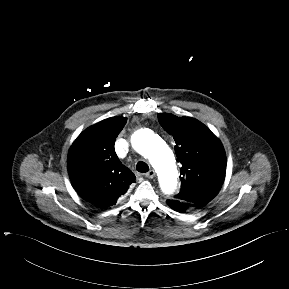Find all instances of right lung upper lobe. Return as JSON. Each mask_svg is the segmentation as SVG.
<instances>
[{
	"instance_id": "1",
	"label": "right lung upper lobe",
	"mask_w": 289,
	"mask_h": 289,
	"mask_svg": "<svg viewBox=\"0 0 289 289\" xmlns=\"http://www.w3.org/2000/svg\"><path fill=\"white\" fill-rule=\"evenodd\" d=\"M125 124L123 117L100 121L82 132L69 150L68 173L75 190L101 208L116 204L136 179L114 149Z\"/></svg>"
}]
</instances>
